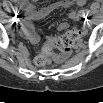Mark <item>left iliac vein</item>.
Returning a JSON list of instances; mask_svg holds the SVG:
<instances>
[{
	"mask_svg": "<svg viewBox=\"0 0 103 103\" xmlns=\"http://www.w3.org/2000/svg\"><path fill=\"white\" fill-rule=\"evenodd\" d=\"M91 24H92V22L89 20V21L87 22V26L90 27Z\"/></svg>",
	"mask_w": 103,
	"mask_h": 103,
	"instance_id": "left-iliac-vein-1",
	"label": "left iliac vein"
}]
</instances>
